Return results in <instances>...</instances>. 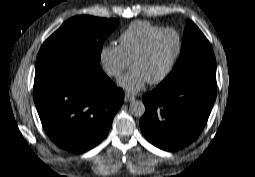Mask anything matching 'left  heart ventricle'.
<instances>
[{
  "mask_svg": "<svg viewBox=\"0 0 255 177\" xmlns=\"http://www.w3.org/2000/svg\"><path fill=\"white\" fill-rule=\"evenodd\" d=\"M177 48V40L173 33L159 36L148 53L131 64L132 70L140 71L147 80L157 78L167 67Z\"/></svg>",
  "mask_w": 255,
  "mask_h": 177,
  "instance_id": "left-heart-ventricle-1",
  "label": "left heart ventricle"
}]
</instances>
